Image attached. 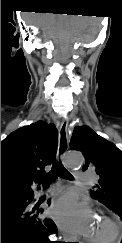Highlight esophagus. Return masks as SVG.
I'll return each mask as SVG.
<instances>
[{"instance_id": "esophagus-1", "label": "esophagus", "mask_w": 122, "mask_h": 243, "mask_svg": "<svg viewBox=\"0 0 122 243\" xmlns=\"http://www.w3.org/2000/svg\"><path fill=\"white\" fill-rule=\"evenodd\" d=\"M68 119L65 118L59 128V147H58V159H62L68 150ZM64 239L69 243H78L76 238L63 234Z\"/></svg>"}]
</instances>
